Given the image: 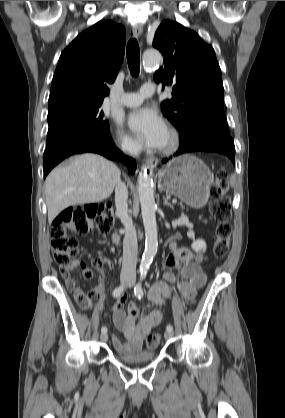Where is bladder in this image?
<instances>
[{
  "instance_id": "bladder-1",
  "label": "bladder",
  "mask_w": 285,
  "mask_h": 418,
  "mask_svg": "<svg viewBox=\"0 0 285 418\" xmlns=\"http://www.w3.org/2000/svg\"><path fill=\"white\" fill-rule=\"evenodd\" d=\"M114 355L122 362L132 365L145 364L152 362L155 359V353L153 351H127L121 352L117 349L114 350Z\"/></svg>"
}]
</instances>
